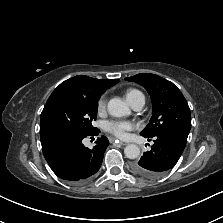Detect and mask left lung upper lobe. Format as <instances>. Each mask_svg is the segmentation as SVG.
Here are the masks:
<instances>
[{
  "label": "left lung upper lobe",
  "mask_w": 223,
  "mask_h": 223,
  "mask_svg": "<svg viewBox=\"0 0 223 223\" xmlns=\"http://www.w3.org/2000/svg\"><path fill=\"white\" fill-rule=\"evenodd\" d=\"M142 85L151 96L153 111L149 124L141 132L145 138L173 131L188 137L190 109L181 91L170 81L151 73L125 78Z\"/></svg>",
  "instance_id": "1"
}]
</instances>
